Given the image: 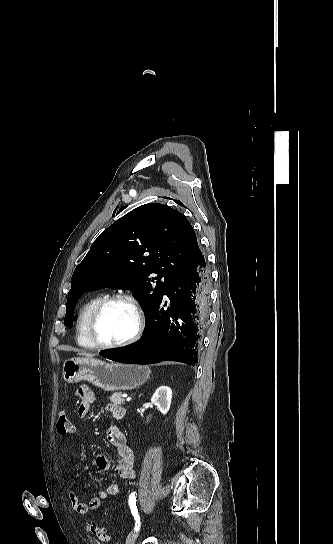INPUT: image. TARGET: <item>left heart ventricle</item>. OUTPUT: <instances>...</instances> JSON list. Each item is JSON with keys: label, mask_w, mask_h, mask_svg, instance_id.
Listing matches in <instances>:
<instances>
[{"label": "left heart ventricle", "mask_w": 333, "mask_h": 544, "mask_svg": "<svg viewBox=\"0 0 333 544\" xmlns=\"http://www.w3.org/2000/svg\"><path fill=\"white\" fill-rule=\"evenodd\" d=\"M136 317L131 306L123 301L109 304L97 324V336L103 343L121 342L132 335Z\"/></svg>", "instance_id": "obj_1"}]
</instances>
